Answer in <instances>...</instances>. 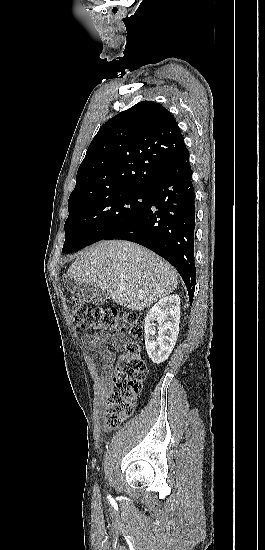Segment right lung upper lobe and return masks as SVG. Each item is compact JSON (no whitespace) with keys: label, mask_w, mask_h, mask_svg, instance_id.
Masks as SVG:
<instances>
[{"label":"right lung upper lobe","mask_w":265,"mask_h":550,"mask_svg":"<svg viewBox=\"0 0 265 550\" xmlns=\"http://www.w3.org/2000/svg\"><path fill=\"white\" fill-rule=\"evenodd\" d=\"M186 150L171 113L159 103L139 102L99 129L77 171L68 203L149 189Z\"/></svg>","instance_id":"cb5924a9"}]
</instances>
